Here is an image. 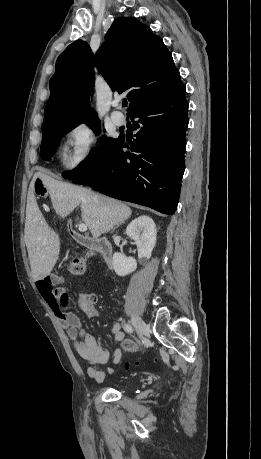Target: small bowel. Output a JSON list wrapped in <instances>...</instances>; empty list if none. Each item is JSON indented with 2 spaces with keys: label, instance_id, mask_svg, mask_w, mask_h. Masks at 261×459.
Returning <instances> with one entry per match:
<instances>
[{
  "label": "small bowel",
  "instance_id": "small-bowel-1",
  "mask_svg": "<svg viewBox=\"0 0 261 459\" xmlns=\"http://www.w3.org/2000/svg\"><path fill=\"white\" fill-rule=\"evenodd\" d=\"M61 281V277L55 274H49L38 279L36 281V287L46 304L58 319L61 327L67 331L68 335L73 340L77 354L91 365H102L107 363L111 358L109 351L103 347L101 341H97L93 335L83 329L82 323L77 315L64 308L66 293L54 289V286ZM80 308L87 317H95L97 315L94 306L91 307L80 304ZM111 333L116 341H121L124 338V332L119 322H115L112 325ZM121 357L122 352L117 348L112 355V364H118ZM112 371V366L109 367L107 371L100 370L94 366H89L87 368L88 376L96 382L104 381L106 376Z\"/></svg>",
  "mask_w": 261,
  "mask_h": 459
}]
</instances>
